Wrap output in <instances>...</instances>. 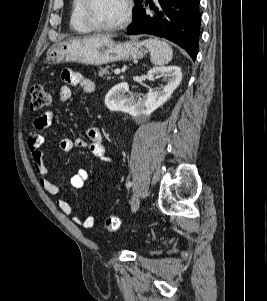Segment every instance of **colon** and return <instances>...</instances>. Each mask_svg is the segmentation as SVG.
<instances>
[{
  "instance_id": "1",
  "label": "colon",
  "mask_w": 267,
  "mask_h": 301,
  "mask_svg": "<svg viewBox=\"0 0 267 301\" xmlns=\"http://www.w3.org/2000/svg\"><path fill=\"white\" fill-rule=\"evenodd\" d=\"M52 102L51 92L42 85H34L31 88L30 107L33 110H39ZM120 226V219L117 216H109L105 221V227L108 231H116Z\"/></svg>"
}]
</instances>
